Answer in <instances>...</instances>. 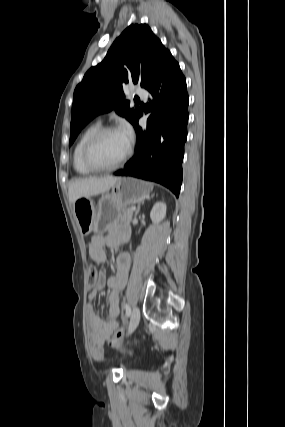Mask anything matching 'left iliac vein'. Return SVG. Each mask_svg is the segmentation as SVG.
Masks as SVG:
<instances>
[{
	"instance_id": "obj_1",
	"label": "left iliac vein",
	"mask_w": 285,
	"mask_h": 427,
	"mask_svg": "<svg viewBox=\"0 0 285 427\" xmlns=\"http://www.w3.org/2000/svg\"><path fill=\"white\" fill-rule=\"evenodd\" d=\"M139 321H140V310L138 307H134L130 317L128 334H131L136 329V327L139 324Z\"/></svg>"
}]
</instances>
